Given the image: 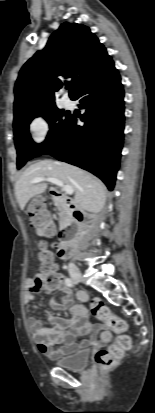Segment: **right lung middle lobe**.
Here are the masks:
<instances>
[{
	"instance_id": "dd1d6c3e",
	"label": "right lung middle lobe",
	"mask_w": 155,
	"mask_h": 413,
	"mask_svg": "<svg viewBox=\"0 0 155 413\" xmlns=\"http://www.w3.org/2000/svg\"><path fill=\"white\" fill-rule=\"evenodd\" d=\"M68 115V112L53 107L36 115L21 119L13 124L18 169H20L28 160L42 155L66 125ZM37 116L45 118L50 127L45 141L41 144L34 143L29 134V124L31 120Z\"/></svg>"
}]
</instances>
